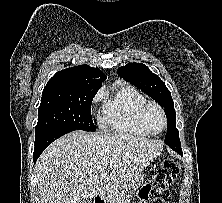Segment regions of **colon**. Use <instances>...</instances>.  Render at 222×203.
<instances>
[{"label":"colon","instance_id":"colon-1","mask_svg":"<svg viewBox=\"0 0 222 203\" xmlns=\"http://www.w3.org/2000/svg\"><path fill=\"white\" fill-rule=\"evenodd\" d=\"M180 173L179 163L168 158L160 165L151 183L147 184L140 192L141 203H166L169 196V186L175 181Z\"/></svg>","mask_w":222,"mask_h":203}]
</instances>
